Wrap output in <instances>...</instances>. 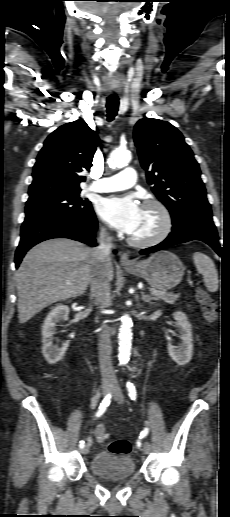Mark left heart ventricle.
<instances>
[{
	"mask_svg": "<svg viewBox=\"0 0 230 517\" xmlns=\"http://www.w3.org/2000/svg\"><path fill=\"white\" fill-rule=\"evenodd\" d=\"M160 225L161 218L156 209L142 208L139 224L131 236L141 239L148 238L159 230Z\"/></svg>",
	"mask_w": 230,
	"mask_h": 517,
	"instance_id": "obj_1",
	"label": "left heart ventricle"
}]
</instances>
